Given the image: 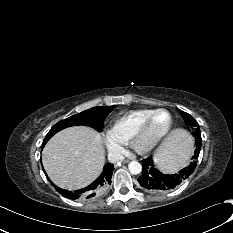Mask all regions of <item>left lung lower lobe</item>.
I'll use <instances>...</instances> for the list:
<instances>
[{
	"instance_id": "left-lung-lower-lobe-1",
	"label": "left lung lower lobe",
	"mask_w": 233,
	"mask_h": 233,
	"mask_svg": "<svg viewBox=\"0 0 233 233\" xmlns=\"http://www.w3.org/2000/svg\"><path fill=\"white\" fill-rule=\"evenodd\" d=\"M202 142V141H201ZM201 142H196V149L192 159L194 160L188 167L183 168L176 174H163L153 163L151 157L144 159L142 174L138 182L143 188L152 191H166L178 187L195 170L196 160L199 157Z\"/></svg>"
}]
</instances>
